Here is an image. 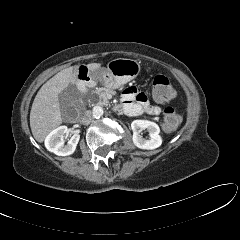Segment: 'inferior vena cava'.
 <instances>
[{
  "mask_svg": "<svg viewBox=\"0 0 240 240\" xmlns=\"http://www.w3.org/2000/svg\"><path fill=\"white\" fill-rule=\"evenodd\" d=\"M93 119V115L91 113V111H86L81 119V122L84 124V125H88L90 124V122L92 121Z\"/></svg>",
  "mask_w": 240,
  "mask_h": 240,
  "instance_id": "inferior-vena-cava-1",
  "label": "inferior vena cava"
}]
</instances>
